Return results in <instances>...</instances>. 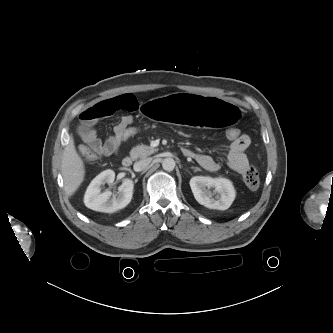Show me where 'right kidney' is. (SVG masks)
I'll return each instance as SVG.
<instances>
[{"instance_id": "ca27d5eb", "label": "right kidney", "mask_w": 333, "mask_h": 333, "mask_svg": "<svg viewBox=\"0 0 333 333\" xmlns=\"http://www.w3.org/2000/svg\"><path fill=\"white\" fill-rule=\"evenodd\" d=\"M114 178L113 170H105L91 181L84 195L86 207L99 212L113 213L130 203L134 185L130 179H126L122 183L117 194H113L111 191L101 193V185L113 183Z\"/></svg>"}]
</instances>
